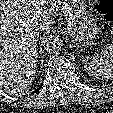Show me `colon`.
<instances>
[{
    "label": "colon",
    "instance_id": "1",
    "mask_svg": "<svg viewBox=\"0 0 113 113\" xmlns=\"http://www.w3.org/2000/svg\"><path fill=\"white\" fill-rule=\"evenodd\" d=\"M98 11L101 16L106 19L113 21V0H97Z\"/></svg>",
    "mask_w": 113,
    "mask_h": 113
}]
</instances>
